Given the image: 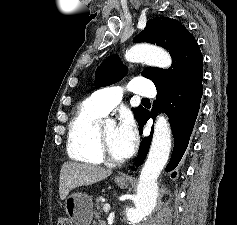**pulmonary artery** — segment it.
Listing matches in <instances>:
<instances>
[{
    "label": "pulmonary artery",
    "instance_id": "obj_1",
    "mask_svg": "<svg viewBox=\"0 0 237 225\" xmlns=\"http://www.w3.org/2000/svg\"><path fill=\"white\" fill-rule=\"evenodd\" d=\"M128 89L141 96L154 97L155 95V86L145 78L133 79L129 83ZM123 91L122 86L112 85L95 91L90 99L103 114H107L120 103Z\"/></svg>",
    "mask_w": 237,
    "mask_h": 225
}]
</instances>
